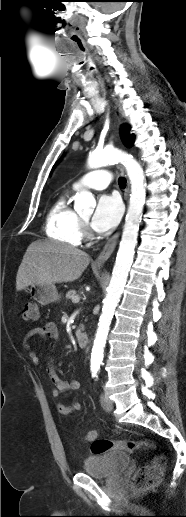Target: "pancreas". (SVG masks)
Returning a JSON list of instances; mask_svg holds the SVG:
<instances>
[{"label": "pancreas", "instance_id": "obj_1", "mask_svg": "<svg viewBox=\"0 0 186 517\" xmlns=\"http://www.w3.org/2000/svg\"><path fill=\"white\" fill-rule=\"evenodd\" d=\"M75 297H78L79 298V295L76 293L75 290H70L66 293V299H73Z\"/></svg>", "mask_w": 186, "mask_h": 517}]
</instances>
